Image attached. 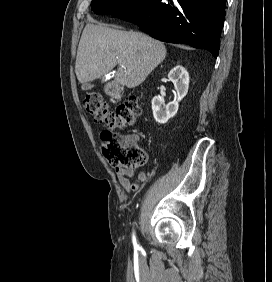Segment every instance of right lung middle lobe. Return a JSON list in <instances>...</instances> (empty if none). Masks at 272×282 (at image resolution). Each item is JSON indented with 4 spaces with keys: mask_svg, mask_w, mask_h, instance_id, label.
I'll use <instances>...</instances> for the list:
<instances>
[{
    "mask_svg": "<svg viewBox=\"0 0 272 282\" xmlns=\"http://www.w3.org/2000/svg\"><path fill=\"white\" fill-rule=\"evenodd\" d=\"M138 0H92L91 8L96 14H113Z\"/></svg>",
    "mask_w": 272,
    "mask_h": 282,
    "instance_id": "1",
    "label": "right lung middle lobe"
}]
</instances>
